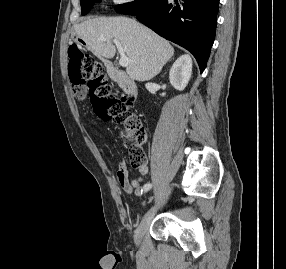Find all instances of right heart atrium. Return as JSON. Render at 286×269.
Returning a JSON list of instances; mask_svg holds the SVG:
<instances>
[{
	"label": "right heart atrium",
	"instance_id": "right-heart-atrium-1",
	"mask_svg": "<svg viewBox=\"0 0 286 269\" xmlns=\"http://www.w3.org/2000/svg\"><path fill=\"white\" fill-rule=\"evenodd\" d=\"M135 0H112V2L115 4V5H125V4H128V3H131Z\"/></svg>",
	"mask_w": 286,
	"mask_h": 269
}]
</instances>
